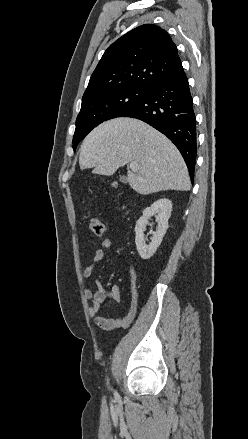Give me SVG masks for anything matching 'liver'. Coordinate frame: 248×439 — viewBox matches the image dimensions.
<instances>
[{
  "mask_svg": "<svg viewBox=\"0 0 248 439\" xmlns=\"http://www.w3.org/2000/svg\"><path fill=\"white\" fill-rule=\"evenodd\" d=\"M138 168L127 172L130 187L141 195L165 190H190L185 162L175 145L159 131L133 118L103 122L84 139L80 169L112 175L128 163Z\"/></svg>",
  "mask_w": 248,
  "mask_h": 439,
  "instance_id": "liver-1",
  "label": "liver"
}]
</instances>
